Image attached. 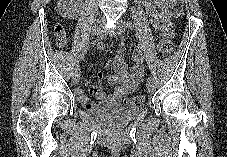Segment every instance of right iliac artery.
Listing matches in <instances>:
<instances>
[{"mask_svg": "<svg viewBox=\"0 0 227 157\" xmlns=\"http://www.w3.org/2000/svg\"><path fill=\"white\" fill-rule=\"evenodd\" d=\"M93 40L95 41L96 45L101 43V40L98 38V36H93ZM97 49L101 50L102 46L98 45ZM72 68H73V70H78L79 69V63L75 62Z\"/></svg>", "mask_w": 227, "mask_h": 157, "instance_id": "82829eb1", "label": "right iliac artery"}]
</instances>
